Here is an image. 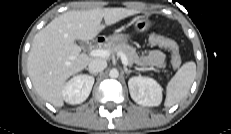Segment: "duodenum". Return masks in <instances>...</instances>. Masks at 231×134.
<instances>
[{
    "mask_svg": "<svg viewBox=\"0 0 231 134\" xmlns=\"http://www.w3.org/2000/svg\"><path fill=\"white\" fill-rule=\"evenodd\" d=\"M104 42H105V39L103 37H98L95 40H93V45L97 47V46L104 44Z\"/></svg>",
    "mask_w": 231,
    "mask_h": 134,
    "instance_id": "obj_1",
    "label": "duodenum"
}]
</instances>
